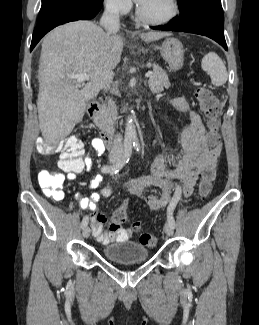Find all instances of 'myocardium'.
<instances>
[{
  "mask_svg": "<svg viewBox=\"0 0 259 325\" xmlns=\"http://www.w3.org/2000/svg\"><path fill=\"white\" fill-rule=\"evenodd\" d=\"M168 3H169V11L166 15L162 17H150L146 15L141 5H138L137 7V15L142 21L149 24L162 25V24L169 23L178 15L179 4L177 0H168Z\"/></svg>",
  "mask_w": 259,
  "mask_h": 325,
  "instance_id": "1",
  "label": "myocardium"
}]
</instances>
